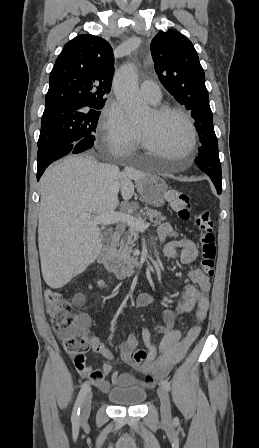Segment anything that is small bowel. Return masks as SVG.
Segmentation results:
<instances>
[{
	"label": "small bowel",
	"mask_w": 259,
	"mask_h": 448,
	"mask_svg": "<svg viewBox=\"0 0 259 448\" xmlns=\"http://www.w3.org/2000/svg\"><path fill=\"white\" fill-rule=\"evenodd\" d=\"M157 233L159 240L164 243L163 252L166 257L172 258L176 255L177 250H180L182 264L189 265L196 260L198 256L196 244L186 238H174V232L169 223L161 224ZM188 276L191 282L185 285L182 299L178 302L177 307L181 313H189L196 307L197 324L183 334L180 330L174 328V313L166 309L163 312V323L156 327V331L163 334L159 349L152 345L150 331L144 329L142 332L148 355L146 361L138 364L132 360L131 354L138 344L134 334H130L120 347L121 360L133 369L143 373L145 375L144 380H139L129 372L112 371L115 357L96 336L89 337L90 345L95 352L105 357L108 362L101 369H93L86 363L84 355L75 356L72 358V363L79 375L89 379L93 385L103 392L109 391L111 384L119 387L139 384L150 388L154 385L155 379L166 376L171 368L185 357L199 336L200 324L205 320L209 309L210 282L208 276L200 268L191 269ZM156 297L157 294L155 293H143L137 299V306L152 305ZM109 373H111V382L106 379Z\"/></svg>",
	"instance_id": "c3829d8e"
}]
</instances>
